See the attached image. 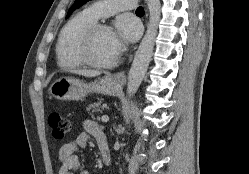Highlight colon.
Instances as JSON below:
<instances>
[{"mask_svg":"<svg viewBox=\"0 0 249 174\" xmlns=\"http://www.w3.org/2000/svg\"><path fill=\"white\" fill-rule=\"evenodd\" d=\"M48 124L52 130L53 136L62 140L71 131V122L63 115L53 112L48 117Z\"/></svg>","mask_w":249,"mask_h":174,"instance_id":"obj_1","label":"colon"}]
</instances>
